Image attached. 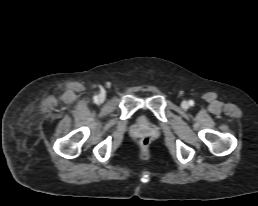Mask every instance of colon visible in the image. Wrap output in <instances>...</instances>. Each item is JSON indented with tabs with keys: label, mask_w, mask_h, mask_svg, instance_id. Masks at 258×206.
<instances>
[{
	"label": "colon",
	"mask_w": 258,
	"mask_h": 206,
	"mask_svg": "<svg viewBox=\"0 0 258 206\" xmlns=\"http://www.w3.org/2000/svg\"><path fill=\"white\" fill-rule=\"evenodd\" d=\"M141 147L147 148L150 144V139L148 137H144L140 141Z\"/></svg>",
	"instance_id": "5ec220e1"
}]
</instances>
